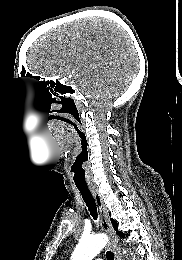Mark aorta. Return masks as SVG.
<instances>
[{
  "mask_svg": "<svg viewBox=\"0 0 182 260\" xmlns=\"http://www.w3.org/2000/svg\"><path fill=\"white\" fill-rule=\"evenodd\" d=\"M103 234L82 237L74 249L71 260H92L107 244Z\"/></svg>",
  "mask_w": 182,
  "mask_h": 260,
  "instance_id": "1",
  "label": "aorta"
}]
</instances>
